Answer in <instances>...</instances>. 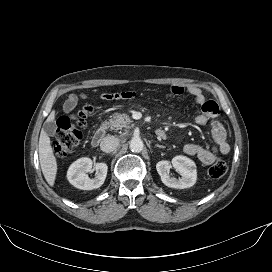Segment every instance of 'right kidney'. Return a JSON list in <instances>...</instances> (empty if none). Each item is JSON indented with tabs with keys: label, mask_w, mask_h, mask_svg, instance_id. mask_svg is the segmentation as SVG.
Wrapping results in <instances>:
<instances>
[{
	"label": "right kidney",
	"mask_w": 272,
	"mask_h": 272,
	"mask_svg": "<svg viewBox=\"0 0 272 272\" xmlns=\"http://www.w3.org/2000/svg\"><path fill=\"white\" fill-rule=\"evenodd\" d=\"M94 168L97 173L95 178L91 179L87 173ZM108 166L105 163H94L90 158H80L68 169L67 179L76 188L82 190H92L101 187L107 176Z\"/></svg>",
	"instance_id": "ca27d5eb"
}]
</instances>
